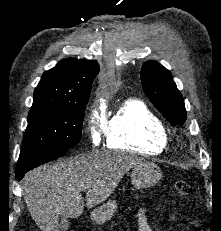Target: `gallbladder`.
Returning a JSON list of instances; mask_svg holds the SVG:
<instances>
[{"instance_id": "bac80fb5", "label": "gallbladder", "mask_w": 221, "mask_h": 231, "mask_svg": "<svg viewBox=\"0 0 221 231\" xmlns=\"http://www.w3.org/2000/svg\"><path fill=\"white\" fill-rule=\"evenodd\" d=\"M69 227L68 219L65 216L59 218V231H67Z\"/></svg>"}]
</instances>
